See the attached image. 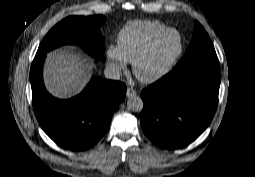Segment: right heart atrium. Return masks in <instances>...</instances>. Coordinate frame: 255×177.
<instances>
[{"label": "right heart atrium", "mask_w": 255, "mask_h": 177, "mask_svg": "<svg viewBox=\"0 0 255 177\" xmlns=\"http://www.w3.org/2000/svg\"><path fill=\"white\" fill-rule=\"evenodd\" d=\"M106 56L111 68L116 74L120 75L128 69V61L118 46H108Z\"/></svg>", "instance_id": "d8ad5b80"}]
</instances>
